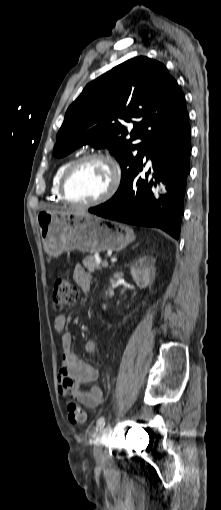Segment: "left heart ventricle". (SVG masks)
<instances>
[{
  "mask_svg": "<svg viewBox=\"0 0 221 510\" xmlns=\"http://www.w3.org/2000/svg\"><path fill=\"white\" fill-rule=\"evenodd\" d=\"M111 180V169L105 162L89 160L73 171L67 183V193L73 201L89 202L104 194Z\"/></svg>",
  "mask_w": 221,
  "mask_h": 510,
  "instance_id": "b2bd125f",
  "label": "left heart ventricle"
}]
</instances>
